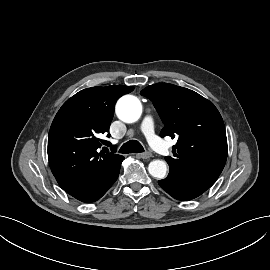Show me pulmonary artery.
Returning a JSON list of instances; mask_svg holds the SVG:
<instances>
[{
	"label": "pulmonary artery",
	"mask_w": 270,
	"mask_h": 270,
	"mask_svg": "<svg viewBox=\"0 0 270 270\" xmlns=\"http://www.w3.org/2000/svg\"><path fill=\"white\" fill-rule=\"evenodd\" d=\"M141 130L144 136L147 138L150 145L160 154L166 155L169 153V148L162 141V139L156 134L155 122L151 115H146L143 118L141 124Z\"/></svg>",
	"instance_id": "1"
}]
</instances>
